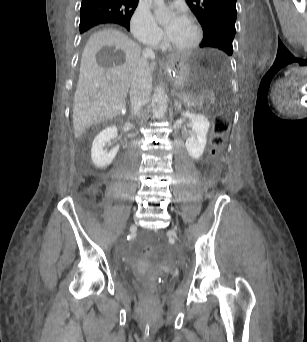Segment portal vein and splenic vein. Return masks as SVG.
<instances>
[{"label":"portal vein and splenic vein","mask_w":307,"mask_h":342,"mask_svg":"<svg viewBox=\"0 0 307 342\" xmlns=\"http://www.w3.org/2000/svg\"><path fill=\"white\" fill-rule=\"evenodd\" d=\"M201 104V103H200ZM200 104H198V105H200ZM189 109L192 107L190 104L187 106Z\"/></svg>","instance_id":"1"}]
</instances>
